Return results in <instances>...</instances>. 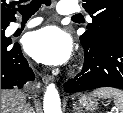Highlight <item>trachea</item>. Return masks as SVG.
I'll return each mask as SVG.
<instances>
[{
	"instance_id": "3493384b",
	"label": "trachea",
	"mask_w": 123,
	"mask_h": 113,
	"mask_svg": "<svg viewBox=\"0 0 123 113\" xmlns=\"http://www.w3.org/2000/svg\"><path fill=\"white\" fill-rule=\"evenodd\" d=\"M44 4L46 6H50L51 1L50 0H32L30 3L26 5H20L17 10L22 15L23 18H30L32 15L35 14L41 7V5Z\"/></svg>"
}]
</instances>
